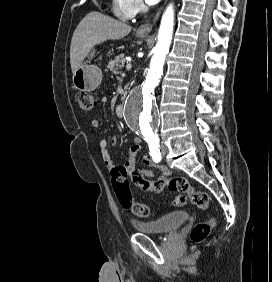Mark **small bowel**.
<instances>
[{
    "label": "small bowel",
    "mask_w": 272,
    "mask_h": 282,
    "mask_svg": "<svg viewBox=\"0 0 272 282\" xmlns=\"http://www.w3.org/2000/svg\"><path fill=\"white\" fill-rule=\"evenodd\" d=\"M106 102H107V99L105 97L101 98L102 104H105ZM99 125H100V119L98 117H95L91 120V126L92 127L97 128V127H99ZM108 144L109 143L106 139H102L100 141L101 155H102V159H103L105 165L108 166V167H113L114 158L111 156V154L108 151ZM110 144L112 146H116L117 145V139L112 138L111 141H110ZM142 148H143L142 139L139 138V137H136L134 139L133 145L131 146V148L129 150L128 159L124 163V166L127 167L129 172H130L131 168L134 166L135 161H136V157H137L138 153L142 150ZM142 162L147 166H151V167L158 169L163 175H169L170 174V171L166 166H161V165H158L157 163H154L153 160L150 158V156L148 154H145L143 156ZM142 174L149 179V182L146 186L139 187V188H141L142 190H152L156 193H161L162 191H164L166 186L162 183L157 182L156 179H152L153 171L151 169L143 170Z\"/></svg>",
    "instance_id": "small-bowel-1"
}]
</instances>
